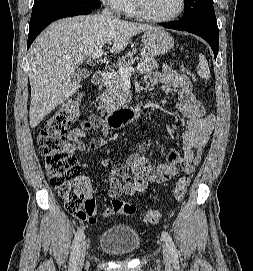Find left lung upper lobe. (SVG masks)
<instances>
[{
  "instance_id": "1",
  "label": "left lung upper lobe",
  "mask_w": 253,
  "mask_h": 271,
  "mask_svg": "<svg viewBox=\"0 0 253 271\" xmlns=\"http://www.w3.org/2000/svg\"><path fill=\"white\" fill-rule=\"evenodd\" d=\"M184 7L185 12L180 22L186 25L215 16L212 0H185Z\"/></svg>"
}]
</instances>
